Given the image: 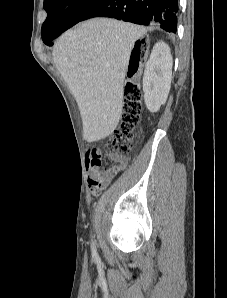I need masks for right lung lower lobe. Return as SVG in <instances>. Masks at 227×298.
Masks as SVG:
<instances>
[{
  "label": "right lung lower lobe",
  "mask_w": 227,
  "mask_h": 298,
  "mask_svg": "<svg viewBox=\"0 0 227 298\" xmlns=\"http://www.w3.org/2000/svg\"><path fill=\"white\" fill-rule=\"evenodd\" d=\"M178 0H100L81 21L93 17H110L140 25L156 24L165 31L176 32ZM62 30L55 32L46 45Z\"/></svg>",
  "instance_id": "obj_1"
}]
</instances>
